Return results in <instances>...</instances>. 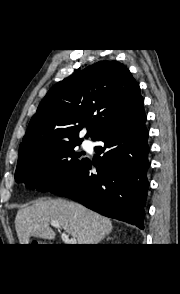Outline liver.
<instances>
[{
    "mask_svg": "<svg viewBox=\"0 0 180 294\" xmlns=\"http://www.w3.org/2000/svg\"><path fill=\"white\" fill-rule=\"evenodd\" d=\"M58 222L80 245L98 244L113 229L110 219L82 205L64 199L38 201L18 210L15 228L20 244H29L30 237L52 240L51 222Z\"/></svg>",
    "mask_w": 180,
    "mask_h": 294,
    "instance_id": "obj_1",
    "label": "liver"
}]
</instances>
